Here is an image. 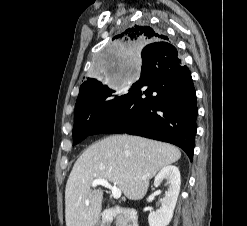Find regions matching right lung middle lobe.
Instances as JSON below:
<instances>
[{"instance_id": "1", "label": "right lung middle lobe", "mask_w": 247, "mask_h": 226, "mask_svg": "<svg viewBox=\"0 0 247 226\" xmlns=\"http://www.w3.org/2000/svg\"><path fill=\"white\" fill-rule=\"evenodd\" d=\"M124 93L108 89L99 83L98 87L79 98L75 106L73 145L92 135L97 125L116 107Z\"/></svg>"}]
</instances>
